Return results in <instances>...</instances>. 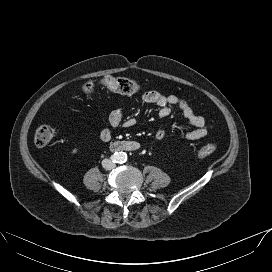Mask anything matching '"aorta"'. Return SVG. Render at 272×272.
<instances>
[{"label":"aorta","mask_w":272,"mask_h":272,"mask_svg":"<svg viewBox=\"0 0 272 272\" xmlns=\"http://www.w3.org/2000/svg\"><path fill=\"white\" fill-rule=\"evenodd\" d=\"M114 160L117 162V163H124L127 161V154L125 152H117L115 153L114 155Z\"/></svg>","instance_id":"1"}]
</instances>
